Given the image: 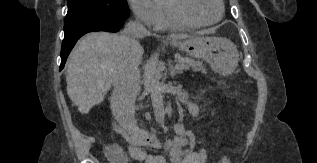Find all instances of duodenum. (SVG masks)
I'll return each mask as SVG.
<instances>
[{"label": "duodenum", "instance_id": "duodenum-1", "mask_svg": "<svg viewBox=\"0 0 317 163\" xmlns=\"http://www.w3.org/2000/svg\"><path fill=\"white\" fill-rule=\"evenodd\" d=\"M114 128L119 133L125 135L131 142L132 147L149 146L158 147L162 139L157 132H148L143 129L128 130L119 122H114ZM109 154L113 157H118L123 153V150L117 145H110L108 147Z\"/></svg>", "mask_w": 317, "mask_h": 163}]
</instances>
